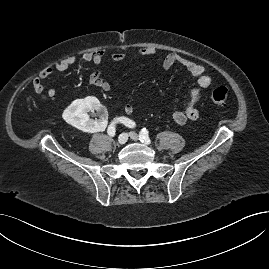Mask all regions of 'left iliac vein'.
Masks as SVG:
<instances>
[{
  "label": "left iliac vein",
  "instance_id": "left-iliac-vein-1",
  "mask_svg": "<svg viewBox=\"0 0 269 269\" xmlns=\"http://www.w3.org/2000/svg\"><path fill=\"white\" fill-rule=\"evenodd\" d=\"M129 136H130V138L132 139V140H134V141H137L138 140V134L136 133V132H133V131H131L130 133H129Z\"/></svg>",
  "mask_w": 269,
  "mask_h": 269
}]
</instances>
